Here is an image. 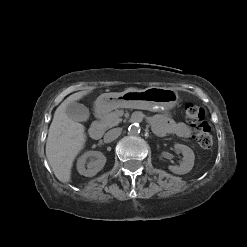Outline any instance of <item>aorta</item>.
Instances as JSON below:
<instances>
[{"mask_svg": "<svg viewBox=\"0 0 247 247\" xmlns=\"http://www.w3.org/2000/svg\"><path fill=\"white\" fill-rule=\"evenodd\" d=\"M140 131H141V127L139 123H133L128 128V134L131 136L139 135Z\"/></svg>", "mask_w": 247, "mask_h": 247, "instance_id": "obj_1", "label": "aorta"}]
</instances>
